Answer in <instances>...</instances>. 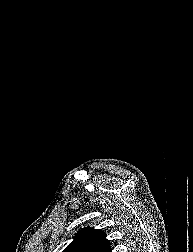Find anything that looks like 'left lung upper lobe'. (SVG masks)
<instances>
[{"label":"left lung upper lobe","mask_w":193,"mask_h":252,"mask_svg":"<svg viewBox=\"0 0 193 252\" xmlns=\"http://www.w3.org/2000/svg\"><path fill=\"white\" fill-rule=\"evenodd\" d=\"M63 252H111V246L102 230L83 228Z\"/></svg>","instance_id":"5c2ea615"}]
</instances>
